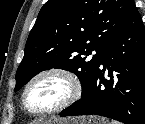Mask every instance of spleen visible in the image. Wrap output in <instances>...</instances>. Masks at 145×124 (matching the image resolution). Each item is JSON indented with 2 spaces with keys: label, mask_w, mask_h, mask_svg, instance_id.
<instances>
[{
  "label": "spleen",
  "mask_w": 145,
  "mask_h": 124,
  "mask_svg": "<svg viewBox=\"0 0 145 124\" xmlns=\"http://www.w3.org/2000/svg\"><path fill=\"white\" fill-rule=\"evenodd\" d=\"M112 124H119V123H117V122H113Z\"/></svg>",
  "instance_id": "obj_1"
}]
</instances>
